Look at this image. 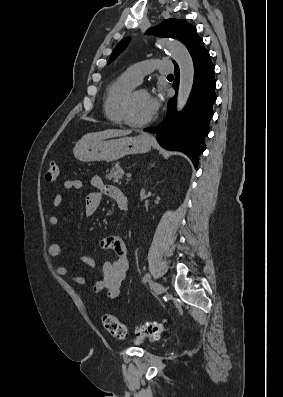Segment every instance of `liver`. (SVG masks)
Wrapping results in <instances>:
<instances>
[{"label": "liver", "instance_id": "1", "mask_svg": "<svg viewBox=\"0 0 283 397\" xmlns=\"http://www.w3.org/2000/svg\"><path fill=\"white\" fill-rule=\"evenodd\" d=\"M131 130H119V129H107L100 132L88 133L82 137L81 140H91V139H107L113 137H120L131 134Z\"/></svg>", "mask_w": 283, "mask_h": 397}]
</instances>
